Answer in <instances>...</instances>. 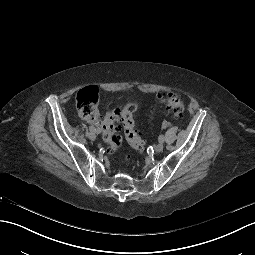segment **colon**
Here are the masks:
<instances>
[{
  "instance_id": "obj_1",
  "label": "colon",
  "mask_w": 255,
  "mask_h": 255,
  "mask_svg": "<svg viewBox=\"0 0 255 255\" xmlns=\"http://www.w3.org/2000/svg\"><path fill=\"white\" fill-rule=\"evenodd\" d=\"M159 102L166 111L175 118H180L184 112V104L177 94H161ZM76 106L79 114L86 120L96 121L98 117V90L95 87L81 89L76 96ZM138 108L135 101H129L122 109L114 108L107 113L101 122L103 141L111 150H117L122 144V138L118 134L122 123L125 136L129 144L138 152L145 149V142L135 128L134 114Z\"/></svg>"
}]
</instances>
